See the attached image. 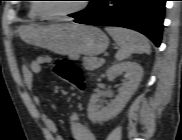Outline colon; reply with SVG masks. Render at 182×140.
<instances>
[{"instance_id":"1","label":"colon","mask_w":182,"mask_h":140,"mask_svg":"<svg viewBox=\"0 0 182 140\" xmlns=\"http://www.w3.org/2000/svg\"><path fill=\"white\" fill-rule=\"evenodd\" d=\"M57 73L69 81L74 87L82 90L84 88L80 69L70 61H60L55 67Z\"/></svg>"}]
</instances>
